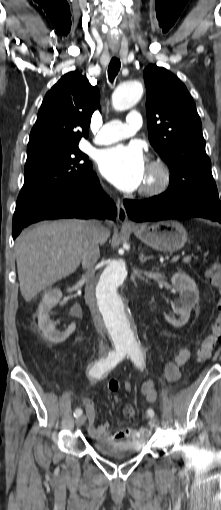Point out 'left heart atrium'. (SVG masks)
I'll return each instance as SVG.
<instances>
[{"label": "left heart atrium", "mask_w": 221, "mask_h": 510, "mask_svg": "<svg viewBox=\"0 0 221 510\" xmlns=\"http://www.w3.org/2000/svg\"><path fill=\"white\" fill-rule=\"evenodd\" d=\"M97 162L101 173L122 191L132 192L143 184L147 168L137 145L120 144L104 149Z\"/></svg>", "instance_id": "1"}]
</instances>
